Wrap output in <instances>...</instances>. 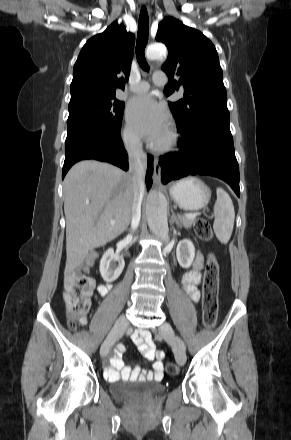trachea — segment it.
<instances>
[{"label":"trachea","instance_id":"3493384b","mask_svg":"<svg viewBox=\"0 0 291 440\" xmlns=\"http://www.w3.org/2000/svg\"><path fill=\"white\" fill-rule=\"evenodd\" d=\"M149 35V18L145 7H142L138 22V34L136 42V57L137 61L142 69L149 71V66L145 59V47L148 42Z\"/></svg>","mask_w":291,"mask_h":440}]
</instances>
